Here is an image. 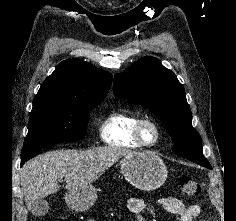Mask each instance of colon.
Here are the masks:
<instances>
[{
  "instance_id": "1",
  "label": "colon",
  "mask_w": 236,
  "mask_h": 221,
  "mask_svg": "<svg viewBox=\"0 0 236 221\" xmlns=\"http://www.w3.org/2000/svg\"><path fill=\"white\" fill-rule=\"evenodd\" d=\"M180 190L181 194L185 198H191L199 194L198 183L190 176H182L180 178ZM63 221V220H56Z\"/></svg>"
}]
</instances>
